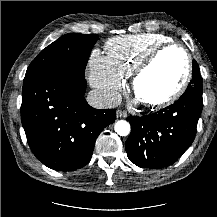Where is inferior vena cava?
<instances>
[{
  "instance_id": "obj_1",
  "label": "inferior vena cava",
  "mask_w": 217,
  "mask_h": 217,
  "mask_svg": "<svg viewBox=\"0 0 217 217\" xmlns=\"http://www.w3.org/2000/svg\"><path fill=\"white\" fill-rule=\"evenodd\" d=\"M86 100L88 104L96 109L114 108L121 103V98L117 92L102 90H91Z\"/></svg>"
}]
</instances>
